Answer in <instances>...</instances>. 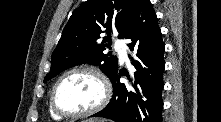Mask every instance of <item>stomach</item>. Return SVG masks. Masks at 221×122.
<instances>
[{
  "mask_svg": "<svg viewBox=\"0 0 221 122\" xmlns=\"http://www.w3.org/2000/svg\"><path fill=\"white\" fill-rule=\"evenodd\" d=\"M82 122H107V120L105 119H94V118H91V119H87V120H84Z\"/></svg>",
  "mask_w": 221,
  "mask_h": 122,
  "instance_id": "obj_1",
  "label": "stomach"
}]
</instances>
